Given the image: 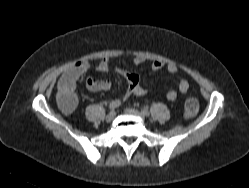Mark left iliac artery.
I'll return each instance as SVG.
<instances>
[{
    "instance_id": "obj_1",
    "label": "left iliac artery",
    "mask_w": 249,
    "mask_h": 188,
    "mask_svg": "<svg viewBox=\"0 0 249 188\" xmlns=\"http://www.w3.org/2000/svg\"><path fill=\"white\" fill-rule=\"evenodd\" d=\"M142 113H143L145 116H149V115H150L148 109H145V108L142 109Z\"/></svg>"
}]
</instances>
